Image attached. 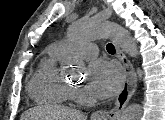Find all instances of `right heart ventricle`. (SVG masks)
Masks as SVG:
<instances>
[{"label":"right heart ventricle","instance_id":"e07e8e85","mask_svg":"<svg viewBox=\"0 0 165 120\" xmlns=\"http://www.w3.org/2000/svg\"><path fill=\"white\" fill-rule=\"evenodd\" d=\"M64 58L65 54L51 46L40 59L28 86L35 101L62 104L74 97V88L59 73V65Z\"/></svg>","mask_w":165,"mask_h":120}]
</instances>
